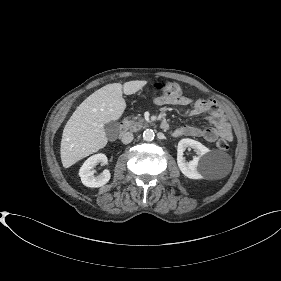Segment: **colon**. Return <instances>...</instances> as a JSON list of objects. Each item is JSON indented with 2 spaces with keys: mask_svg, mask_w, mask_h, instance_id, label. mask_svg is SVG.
Here are the masks:
<instances>
[{
  "mask_svg": "<svg viewBox=\"0 0 281 281\" xmlns=\"http://www.w3.org/2000/svg\"><path fill=\"white\" fill-rule=\"evenodd\" d=\"M180 93V86L174 82H160L156 83L150 91V94L153 98L159 99L165 96L178 95ZM217 147L220 150L229 149V141L227 139H220L217 142Z\"/></svg>",
  "mask_w": 281,
  "mask_h": 281,
  "instance_id": "obj_1",
  "label": "colon"
}]
</instances>
